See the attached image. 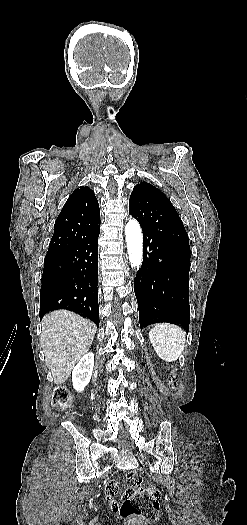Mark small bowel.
<instances>
[{
  "mask_svg": "<svg viewBox=\"0 0 247 525\" xmlns=\"http://www.w3.org/2000/svg\"><path fill=\"white\" fill-rule=\"evenodd\" d=\"M118 486H119L118 481L110 480L108 482V485H107L106 491H105V494H106V497H105L106 505H107V507H109L110 512L113 513V514L118 513L119 510H120L119 505L115 503V500H116L115 494H116V490H117Z\"/></svg>",
  "mask_w": 247,
  "mask_h": 525,
  "instance_id": "1",
  "label": "small bowel"
}]
</instances>
